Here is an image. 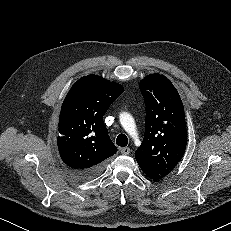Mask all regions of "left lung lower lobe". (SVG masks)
I'll use <instances>...</instances> for the list:
<instances>
[{
  "mask_svg": "<svg viewBox=\"0 0 231 231\" xmlns=\"http://www.w3.org/2000/svg\"><path fill=\"white\" fill-rule=\"evenodd\" d=\"M141 169L143 170V172H144L149 178L153 179L154 181H157V180L163 178L162 176L157 175V174H154V173H151V172H149L148 170H146V169H144V168H142V167H141Z\"/></svg>",
  "mask_w": 231,
  "mask_h": 231,
  "instance_id": "left-lung-lower-lobe-1",
  "label": "left lung lower lobe"
}]
</instances>
